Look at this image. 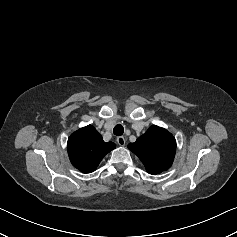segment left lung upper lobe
I'll list each match as a JSON object with an SVG mask.
<instances>
[{"label": "left lung upper lobe", "mask_w": 237, "mask_h": 237, "mask_svg": "<svg viewBox=\"0 0 237 237\" xmlns=\"http://www.w3.org/2000/svg\"><path fill=\"white\" fill-rule=\"evenodd\" d=\"M128 148L139 157L148 173L159 174L171 167L176 140L166 129L153 125Z\"/></svg>", "instance_id": "obj_1"}]
</instances>
